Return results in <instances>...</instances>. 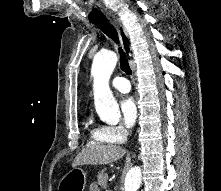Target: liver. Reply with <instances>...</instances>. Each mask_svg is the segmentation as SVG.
<instances>
[{
	"mask_svg": "<svg viewBox=\"0 0 221 191\" xmlns=\"http://www.w3.org/2000/svg\"><path fill=\"white\" fill-rule=\"evenodd\" d=\"M126 150L116 145L97 144L83 149L75 158L72 166L79 165H104L122 158Z\"/></svg>",
	"mask_w": 221,
	"mask_h": 191,
	"instance_id": "6515ba94",
	"label": "liver"
}]
</instances>
